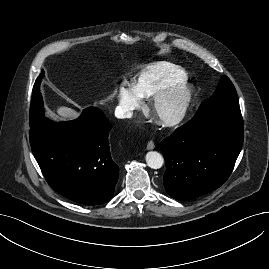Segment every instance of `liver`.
Returning <instances> with one entry per match:
<instances>
[{
    "instance_id": "obj_1",
    "label": "liver",
    "mask_w": 269,
    "mask_h": 269,
    "mask_svg": "<svg viewBox=\"0 0 269 269\" xmlns=\"http://www.w3.org/2000/svg\"><path fill=\"white\" fill-rule=\"evenodd\" d=\"M58 115L63 119H76L79 117V112L66 106H60L57 108Z\"/></svg>"
}]
</instances>
